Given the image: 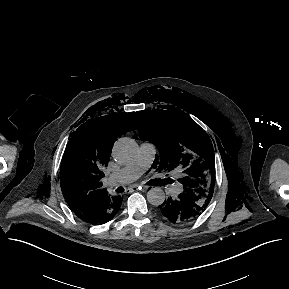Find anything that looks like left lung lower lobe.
Instances as JSON below:
<instances>
[{
	"label": "left lung lower lobe",
	"instance_id": "obj_1",
	"mask_svg": "<svg viewBox=\"0 0 289 289\" xmlns=\"http://www.w3.org/2000/svg\"><path fill=\"white\" fill-rule=\"evenodd\" d=\"M161 214L172 223H186L194 220L206 209L196 196L182 192L176 198H168L159 206Z\"/></svg>",
	"mask_w": 289,
	"mask_h": 289
}]
</instances>
